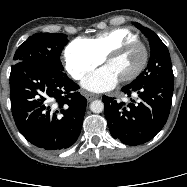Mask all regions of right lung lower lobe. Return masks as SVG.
<instances>
[{
	"mask_svg": "<svg viewBox=\"0 0 187 187\" xmlns=\"http://www.w3.org/2000/svg\"><path fill=\"white\" fill-rule=\"evenodd\" d=\"M63 70L34 62L11 67L12 115L21 134L45 150L70 147L78 139L87 100Z\"/></svg>",
	"mask_w": 187,
	"mask_h": 187,
	"instance_id": "right-lung-lower-lobe-1",
	"label": "right lung lower lobe"
}]
</instances>
